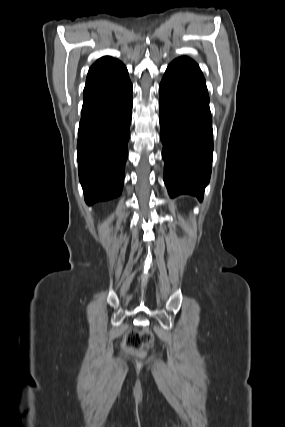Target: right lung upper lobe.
Listing matches in <instances>:
<instances>
[{
  "instance_id": "cb5924a9",
  "label": "right lung upper lobe",
  "mask_w": 285,
  "mask_h": 427,
  "mask_svg": "<svg viewBox=\"0 0 285 427\" xmlns=\"http://www.w3.org/2000/svg\"><path fill=\"white\" fill-rule=\"evenodd\" d=\"M123 66L124 65L119 60L110 56H104L98 59L91 66L87 75L86 83L107 77L121 69Z\"/></svg>"
}]
</instances>
